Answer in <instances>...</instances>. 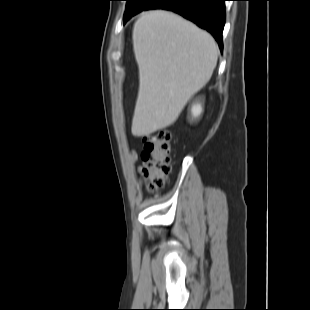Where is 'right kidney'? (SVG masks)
<instances>
[{
    "instance_id": "obj_1",
    "label": "right kidney",
    "mask_w": 310,
    "mask_h": 310,
    "mask_svg": "<svg viewBox=\"0 0 310 310\" xmlns=\"http://www.w3.org/2000/svg\"><path fill=\"white\" fill-rule=\"evenodd\" d=\"M190 111H191L192 119L199 118L203 112L202 104L200 102L193 103Z\"/></svg>"
}]
</instances>
